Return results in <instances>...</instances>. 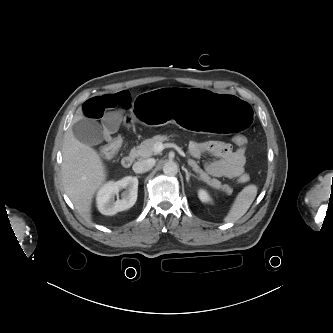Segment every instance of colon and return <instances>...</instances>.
<instances>
[{"label":"colon","mask_w":333,"mask_h":333,"mask_svg":"<svg viewBox=\"0 0 333 333\" xmlns=\"http://www.w3.org/2000/svg\"><path fill=\"white\" fill-rule=\"evenodd\" d=\"M233 141L236 145L243 147L247 143V138L237 134L233 137ZM121 144L122 140L120 137H108V142L100 148V155L105 159L112 158L118 152ZM249 180L250 176L248 174H242L239 177V182L241 183H247Z\"/></svg>","instance_id":"colon-1"}]
</instances>
